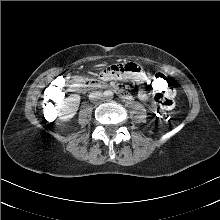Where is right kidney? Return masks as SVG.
I'll list each match as a JSON object with an SVG mask.
<instances>
[{
  "label": "right kidney",
  "mask_w": 220,
  "mask_h": 220,
  "mask_svg": "<svg viewBox=\"0 0 220 220\" xmlns=\"http://www.w3.org/2000/svg\"><path fill=\"white\" fill-rule=\"evenodd\" d=\"M80 103V96L78 94H73L66 98L59 108V116L62 121H69L74 117L76 111L78 110Z\"/></svg>",
  "instance_id": "1"
}]
</instances>
